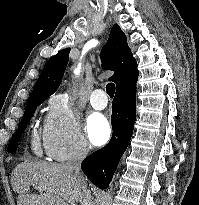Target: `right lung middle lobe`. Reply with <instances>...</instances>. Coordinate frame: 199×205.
Wrapping results in <instances>:
<instances>
[{"label": "right lung middle lobe", "instance_id": "dd1d6c3e", "mask_svg": "<svg viewBox=\"0 0 199 205\" xmlns=\"http://www.w3.org/2000/svg\"><path fill=\"white\" fill-rule=\"evenodd\" d=\"M44 100H46V99L32 100V101H29L27 103L26 110H25L24 115L21 119L20 125L10 140V143L8 146L9 153L14 154L16 152L18 141H19L22 133L25 131L31 117L33 116L35 110L37 109V106L40 105Z\"/></svg>", "mask_w": 199, "mask_h": 205}]
</instances>
